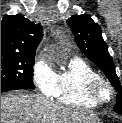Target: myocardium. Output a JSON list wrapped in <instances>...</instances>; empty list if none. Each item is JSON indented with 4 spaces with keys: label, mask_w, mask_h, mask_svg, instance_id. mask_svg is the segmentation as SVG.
I'll list each match as a JSON object with an SVG mask.
<instances>
[{
    "label": "myocardium",
    "mask_w": 122,
    "mask_h": 123,
    "mask_svg": "<svg viewBox=\"0 0 122 123\" xmlns=\"http://www.w3.org/2000/svg\"><path fill=\"white\" fill-rule=\"evenodd\" d=\"M106 88L108 91V96H102V89ZM85 95L95 103L104 104L109 102L114 95V89L111 83L103 77H94L87 81L85 85Z\"/></svg>",
    "instance_id": "obj_1"
}]
</instances>
